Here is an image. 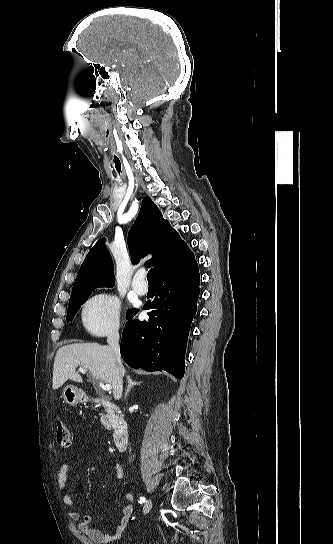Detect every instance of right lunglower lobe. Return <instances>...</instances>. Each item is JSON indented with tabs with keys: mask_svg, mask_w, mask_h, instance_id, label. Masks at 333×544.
<instances>
[{
	"mask_svg": "<svg viewBox=\"0 0 333 544\" xmlns=\"http://www.w3.org/2000/svg\"><path fill=\"white\" fill-rule=\"evenodd\" d=\"M199 297V270L195 262L157 278L156 297L144 305L149 320L128 315L120 344L122 359L133 368L166 371L182 378L184 356Z\"/></svg>",
	"mask_w": 333,
	"mask_h": 544,
	"instance_id": "1",
	"label": "right lung lower lobe"
}]
</instances>
